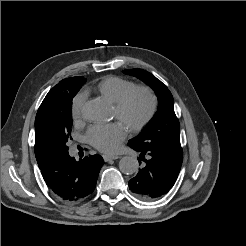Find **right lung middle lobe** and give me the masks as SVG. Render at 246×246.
<instances>
[{
    "instance_id": "obj_1",
    "label": "right lung middle lobe",
    "mask_w": 246,
    "mask_h": 246,
    "mask_svg": "<svg viewBox=\"0 0 246 246\" xmlns=\"http://www.w3.org/2000/svg\"><path fill=\"white\" fill-rule=\"evenodd\" d=\"M85 82H78L58 92L48 105V139L55 157L68 154L67 141L72 123V99Z\"/></svg>"
}]
</instances>
